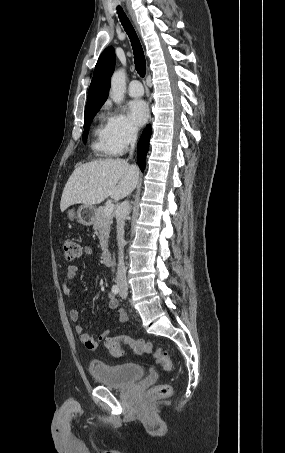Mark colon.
Masks as SVG:
<instances>
[{"label": "colon", "mask_w": 285, "mask_h": 453, "mask_svg": "<svg viewBox=\"0 0 285 453\" xmlns=\"http://www.w3.org/2000/svg\"><path fill=\"white\" fill-rule=\"evenodd\" d=\"M65 258L68 261L76 259L81 252L80 245L73 238H65L62 242ZM129 346L135 354L152 355L156 362L166 371L172 369V361L168 353L162 348L156 347L152 342L145 339H133L127 335H118L115 337L105 338V346L115 357L123 355L122 345ZM172 392V387L169 384H162L154 387L150 391V396L155 398L168 397Z\"/></svg>", "instance_id": "colon-1"}]
</instances>
